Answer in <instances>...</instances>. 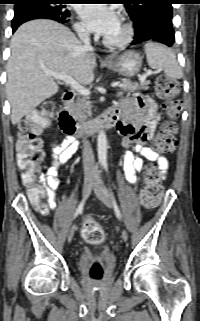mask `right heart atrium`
Here are the masks:
<instances>
[{
    "label": "right heart atrium",
    "mask_w": 200,
    "mask_h": 321,
    "mask_svg": "<svg viewBox=\"0 0 200 321\" xmlns=\"http://www.w3.org/2000/svg\"><path fill=\"white\" fill-rule=\"evenodd\" d=\"M75 30L76 32L80 35V36H86L88 34V31L87 29L85 28V26L80 23V22H77L75 24Z\"/></svg>",
    "instance_id": "obj_1"
}]
</instances>
